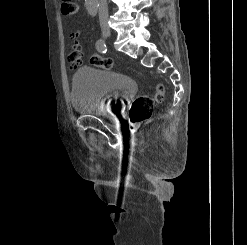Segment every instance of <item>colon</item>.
<instances>
[{
	"mask_svg": "<svg viewBox=\"0 0 247 245\" xmlns=\"http://www.w3.org/2000/svg\"><path fill=\"white\" fill-rule=\"evenodd\" d=\"M61 11L65 15H74L77 12V5L71 0H62ZM68 61L72 68L78 67L82 62V47L79 42L74 44V51L69 56ZM90 63L93 66L102 69H111L114 67V62L110 58H105L97 55L90 57ZM164 88L162 85L157 86L154 97L140 96L137 97L130 108L129 118L133 124H141L149 120L152 116L153 105L155 102L163 100Z\"/></svg>",
	"mask_w": 247,
	"mask_h": 245,
	"instance_id": "1",
	"label": "colon"
}]
</instances>
